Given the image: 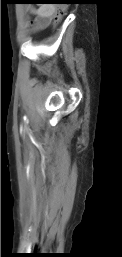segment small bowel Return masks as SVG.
Listing matches in <instances>:
<instances>
[{
  "mask_svg": "<svg viewBox=\"0 0 122 257\" xmlns=\"http://www.w3.org/2000/svg\"><path fill=\"white\" fill-rule=\"evenodd\" d=\"M35 15L33 27L35 30L46 28L54 18L55 8L52 5H41L38 8L32 9Z\"/></svg>",
  "mask_w": 122,
  "mask_h": 257,
  "instance_id": "obj_1",
  "label": "small bowel"
}]
</instances>
